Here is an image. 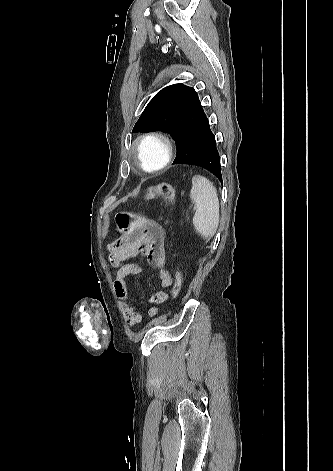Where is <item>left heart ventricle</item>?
Returning a JSON list of instances; mask_svg holds the SVG:
<instances>
[{
    "label": "left heart ventricle",
    "mask_w": 333,
    "mask_h": 471,
    "mask_svg": "<svg viewBox=\"0 0 333 471\" xmlns=\"http://www.w3.org/2000/svg\"><path fill=\"white\" fill-rule=\"evenodd\" d=\"M163 157V150L157 143H148L143 147L142 158L148 168L155 167Z\"/></svg>",
    "instance_id": "left-heart-ventricle-1"
}]
</instances>
